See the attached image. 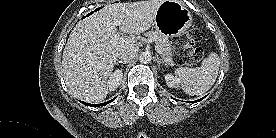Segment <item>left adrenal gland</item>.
Listing matches in <instances>:
<instances>
[{
    "mask_svg": "<svg viewBox=\"0 0 276 138\" xmlns=\"http://www.w3.org/2000/svg\"><path fill=\"white\" fill-rule=\"evenodd\" d=\"M157 64L160 66V64H164L166 67L168 66L162 59L159 58V56H156Z\"/></svg>",
    "mask_w": 276,
    "mask_h": 138,
    "instance_id": "1",
    "label": "left adrenal gland"
}]
</instances>
